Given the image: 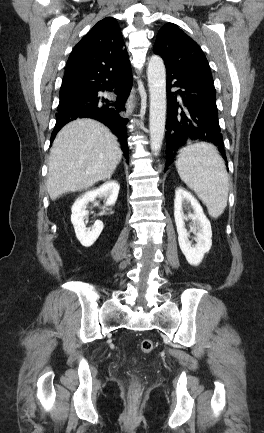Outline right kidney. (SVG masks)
I'll return each instance as SVG.
<instances>
[{
    "mask_svg": "<svg viewBox=\"0 0 264 433\" xmlns=\"http://www.w3.org/2000/svg\"><path fill=\"white\" fill-rule=\"evenodd\" d=\"M120 186L116 181L105 182L102 186L95 190H91L77 198L72 206L71 222L74 226L77 239L85 247H90L98 239L103 230V222L96 220L91 228H87L84 223V218L88 211L86 207L89 202H93L97 197H104L106 199L105 206L114 205Z\"/></svg>",
    "mask_w": 264,
    "mask_h": 433,
    "instance_id": "1",
    "label": "right kidney"
}]
</instances>
